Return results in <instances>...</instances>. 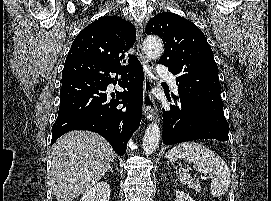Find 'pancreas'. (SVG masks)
<instances>
[{"label":"pancreas","instance_id":"pancreas-1","mask_svg":"<svg viewBox=\"0 0 271 201\" xmlns=\"http://www.w3.org/2000/svg\"><path fill=\"white\" fill-rule=\"evenodd\" d=\"M194 190L200 192L201 191V187H200V184L197 182L194 187H193Z\"/></svg>","mask_w":271,"mask_h":201}]
</instances>
